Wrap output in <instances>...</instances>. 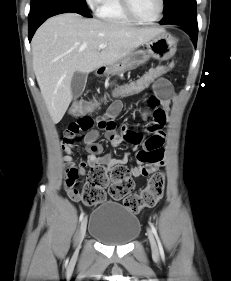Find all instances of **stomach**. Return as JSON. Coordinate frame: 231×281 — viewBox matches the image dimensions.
<instances>
[{"label":"stomach","instance_id":"stomach-1","mask_svg":"<svg viewBox=\"0 0 231 281\" xmlns=\"http://www.w3.org/2000/svg\"><path fill=\"white\" fill-rule=\"evenodd\" d=\"M146 49L134 50L116 63L109 65V73L133 70L146 63L150 58L168 60L176 53V41L167 32H162L145 43Z\"/></svg>","mask_w":231,"mask_h":281}]
</instances>
